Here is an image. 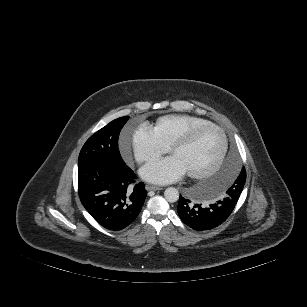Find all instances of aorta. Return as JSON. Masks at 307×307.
I'll use <instances>...</instances> for the list:
<instances>
[{
    "label": "aorta",
    "mask_w": 307,
    "mask_h": 307,
    "mask_svg": "<svg viewBox=\"0 0 307 307\" xmlns=\"http://www.w3.org/2000/svg\"><path fill=\"white\" fill-rule=\"evenodd\" d=\"M164 197L168 202L174 203L179 199V191L174 187H169L164 191Z\"/></svg>",
    "instance_id": "1"
}]
</instances>
